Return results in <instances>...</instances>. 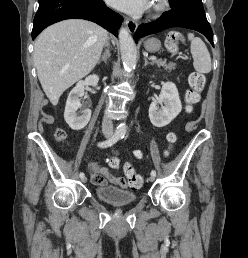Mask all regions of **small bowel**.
<instances>
[{
	"mask_svg": "<svg viewBox=\"0 0 248 258\" xmlns=\"http://www.w3.org/2000/svg\"><path fill=\"white\" fill-rule=\"evenodd\" d=\"M134 155L138 159L142 158V153L140 150H135ZM88 168L91 172V181L95 185H98V186L107 185L108 182H110L123 189H127V188L136 189L131 186L129 180L127 181L124 177H121V176H115L106 167L100 168L98 167L97 164L91 162L88 164Z\"/></svg>",
	"mask_w": 248,
	"mask_h": 258,
	"instance_id": "small-bowel-1",
	"label": "small bowel"
}]
</instances>
